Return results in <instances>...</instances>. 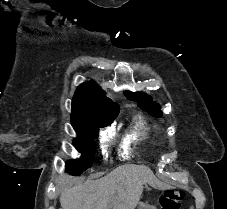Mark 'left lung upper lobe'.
Returning <instances> with one entry per match:
<instances>
[{
	"label": "left lung upper lobe",
	"instance_id": "left-lung-upper-lobe-1",
	"mask_svg": "<svg viewBox=\"0 0 227 209\" xmlns=\"http://www.w3.org/2000/svg\"><path fill=\"white\" fill-rule=\"evenodd\" d=\"M125 96L129 100H135L138 102V106L141 107L143 110L147 111L154 117H161L162 112L160 111V106L156 103H152L151 97L144 95L143 93H132L126 91Z\"/></svg>",
	"mask_w": 227,
	"mask_h": 209
}]
</instances>
